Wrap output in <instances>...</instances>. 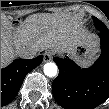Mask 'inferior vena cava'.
Masks as SVG:
<instances>
[{
	"label": "inferior vena cava",
	"mask_w": 109,
	"mask_h": 109,
	"mask_svg": "<svg viewBox=\"0 0 109 109\" xmlns=\"http://www.w3.org/2000/svg\"><path fill=\"white\" fill-rule=\"evenodd\" d=\"M37 50L32 47H19L16 50L17 56L23 59H32L36 56Z\"/></svg>",
	"instance_id": "obj_1"
}]
</instances>
